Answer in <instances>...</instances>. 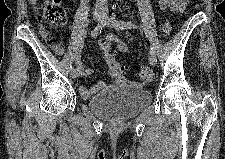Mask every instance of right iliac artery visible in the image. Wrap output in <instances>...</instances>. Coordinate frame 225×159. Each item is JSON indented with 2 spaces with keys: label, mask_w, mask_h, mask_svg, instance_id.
I'll return each mask as SVG.
<instances>
[{
  "label": "right iliac artery",
  "mask_w": 225,
  "mask_h": 159,
  "mask_svg": "<svg viewBox=\"0 0 225 159\" xmlns=\"http://www.w3.org/2000/svg\"><path fill=\"white\" fill-rule=\"evenodd\" d=\"M102 28H103V26L101 24H98L91 32V37H93V38L97 37L101 33ZM73 69H74V67L71 66L70 71H72Z\"/></svg>",
  "instance_id": "82829eb1"
}]
</instances>
